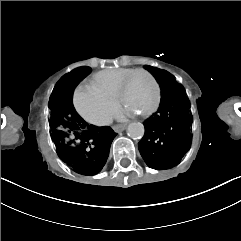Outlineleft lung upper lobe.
Here are the masks:
<instances>
[{"label": "left lung upper lobe", "mask_w": 241, "mask_h": 241, "mask_svg": "<svg viewBox=\"0 0 241 241\" xmlns=\"http://www.w3.org/2000/svg\"><path fill=\"white\" fill-rule=\"evenodd\" d=\"M144 68L149 70L157 79L161 87V93L165 92L168 88L179 86L174 76L168 73L167 71L160 70L147 65H145Z\"/></svg>", "instance_id": "1"}]
</instances>
